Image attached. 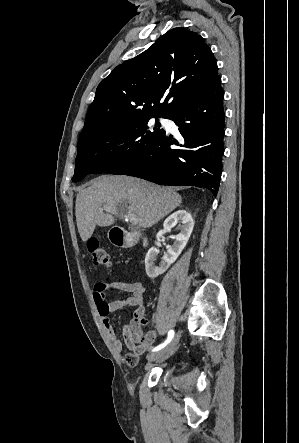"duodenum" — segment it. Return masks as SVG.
I'll return each mask as SVG.
<instances>
[{"label":"duodenum","mask_w":299,"mask_h":443,"mask_svg":"<svg viewBox=\"0 0 299 443\" xmlns=\"http://www.w3.org/2000/svg\"><path fill=\"white\" fill-rule=\"evenodd\" d=\"M137 237L141 239L144 245L147 244L146 237L142 233L133 234L122 227H114L110 233L111 242L120 247H130Z\"/></svg>","instance_id":"410a0bca"}]
</instances>
